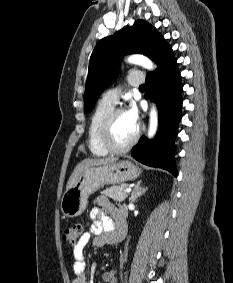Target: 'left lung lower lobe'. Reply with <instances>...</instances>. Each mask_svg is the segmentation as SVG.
Instances as JSON below:
<instances>
[{"instance_id": "left-lung-lower-lobe-1", "label": "left lung lower lobe", "mask_w": 233, "mask_h": 283, "mask_svg": "<svg viewBox=\"0 0 233 283\" xmlns=\"http://www.w3.org/2000/svg\"><path fill=\"white\" fill-rule=\"evenodd\" d=\"M157 66L156 71L147 74L145 98L156 102L160 128L153 141L142 137L132 149L131 155L143 164L166 169L177 176L174 164V138L182 117L183 85L171 47Z\"/></svg>"}]
</instances>
